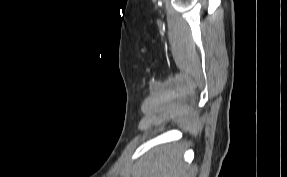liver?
Instances as JSON below:
<instances>
[{
    "label": "liver",
    "instance_id": "1",
    "mask_svg": "<svg viewBox=\"0 0 287 177\" xmlns=\"http://www.w3.org/2000/svg\"><path fill=\"white\" fill-rule=\"evenodd\" d=\"M184 145L166 144L151 150L140 169L141 177H192L182 161Z\"/></svg>",
    "mask_w": 287,
    "mask_h": 177
}]
</instances>
